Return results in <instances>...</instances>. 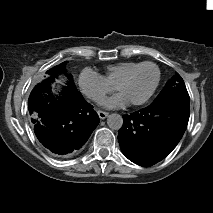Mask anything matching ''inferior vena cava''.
Returning a JSON list of instances; mask_svg holds the SVG:
<instances>
[{
    "mask_svg": "<svg viewBox=\"0 0 213 213\" xmlns=\"http://www.w3.org/2000/svg\"><path fill=\"white\" fill-rule=\"evenodd\" d=\"M93 100L97 103H100L103 101V97L102 96H94L93 97Z\"/></svg>",
    "mask_w": 213,
    "mask_h": 213,
    "instance_id": "602c4592",
    "label": "inferior vena cava"
}]
</instances>
